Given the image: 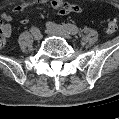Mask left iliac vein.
<instances>
[{
	"instance_id": "obj_1",
	"label": "left iliac vein",
	"mask_w": 119,
	"mask_h": 119,
	"mask_svg": "<svg viewBox=\"0 0 119 119\" xmlns=\"http://www.w3.org/2000/svg\"><path fill=\"white\" fill-rule=\"evenodd\" d=\"M46 33L49 34V35L61 36V37H64L66 39H71L72 38L67 32H65L63 30H59V29H54V28H51V27H47Z\"/></svg>"
}]
</instances>
